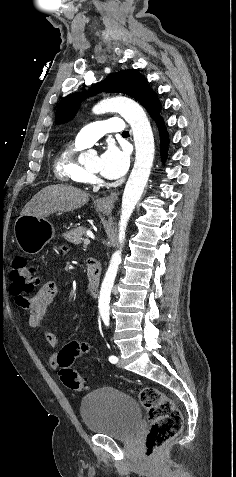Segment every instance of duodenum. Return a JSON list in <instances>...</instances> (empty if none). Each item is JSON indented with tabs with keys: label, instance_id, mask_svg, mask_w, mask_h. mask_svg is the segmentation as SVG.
<instances>
[{
	"label": "duodenum",
	"instance_id": "duodenum-1",
	"mask_svg": "<svg viewBox=\"0 0 236 477\" xmlns=\"http://www.w3.org/2000/svg\"><path fill=\"white\" fill-rule=\"evenodd\" d=\"M101 267L99 261L93 258L87 259L86 281L89 287L96 291L99 285Z\"/></svg>",
	"mask_w": 236,
	"mask_h": 477
}]
</instances>
